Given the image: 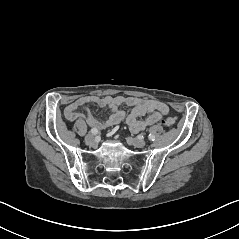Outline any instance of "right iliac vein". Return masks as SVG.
<instances>
[{"instance_id":"1","label":"right iliac vein","mask_w":239,"mask_h":239,"mask_svg":"<svg viewBox=\"0 0 239 239\" xmlns=\"http://www.w3.org/2000/svg\"><path fill=\"white\" fill-rule=\"evenodd\" d=\"M85 142L87 145H94L95 144V138L91 134H88L85 136Z\"/></svg>"}]
</instances>
